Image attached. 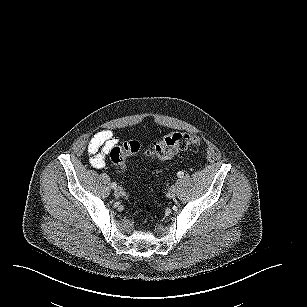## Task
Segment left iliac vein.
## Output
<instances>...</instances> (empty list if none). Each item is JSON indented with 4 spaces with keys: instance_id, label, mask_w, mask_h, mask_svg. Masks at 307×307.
Returning <instances> with one entry per match:
<instances>
[{
    "instance_id": "left-iliac-vein-1",
    "label": "left iliac vein",
    "mask_w": 307,
    "mask_h": 307,
    "mask_svg": "<svg viewBox=\"0 0 307 307\" xmlns=\"http://www.w3.org/2000/svg\"><path fill=\"white\" fill-rule=\"evenodd\" d=\"M168 194H169L170 196H175V195L177 194V187H176V185H172V186L169 188Z\"/></svg>"
}]
</instances>
